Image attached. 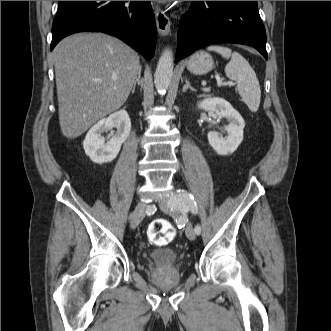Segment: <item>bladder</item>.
<instances>
[{
  "instance_id": "bladder-1",
  "label": "bladder",
  "mask_w": 331,
  "mask_h": 331,
  "mask_svg": "<svg viewBox=\"0 0 331 331\" xmlns=\"http://www.w3.org/2000/svg\"><path fill=\"white\" fill-rule=\"evenodd\" d=\"M148 261L157 267H172L180 263L181 256L172 248H160L149 253Z\"/></svg>"
}]
</instances>
